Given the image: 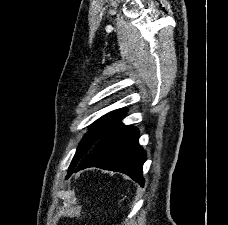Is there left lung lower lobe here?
Masks as SVG:
<instances>
[{
	"mask_svg": "<svg viewBox=\"0 0 228 225\" xmlns=\"http://www.w3.org/2000/svg\"><path fill=\"white\" fill-rule=\"evenodd\" d=\"M138 139V130L123 125L119 120L103 133L93 150L73 171L78 172L88 167L118 171L127 174L143 186L142 167L146 153L139 145Z\"/></svg>",
	"mask_w": 228,
	"mask_h": 225,
	"instance_id": "left-lung-lower-lobe-1",
	"label": "left lung lower lobe"
}]
</instances>
